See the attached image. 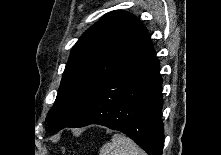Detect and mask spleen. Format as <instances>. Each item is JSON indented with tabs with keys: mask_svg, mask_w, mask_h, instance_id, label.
I'll use <instances>...</instances> for the list:
<instances>
[{
	"mask_svg": "<svg viewBox=\"0 0 221 155\" xmlns=\"http://www.w3.org/2000/svg\"><path fill=\"white\" fill-rule=\"evenodd\" d=\"M99 155H146V153L130 138L116 133L110 142L100 148Z\"/></svg>",
	"mask_w": 221,
	"mask_h": 155,
	"instance_id": "1",
	"label": "spleen"
}]
</instances>
